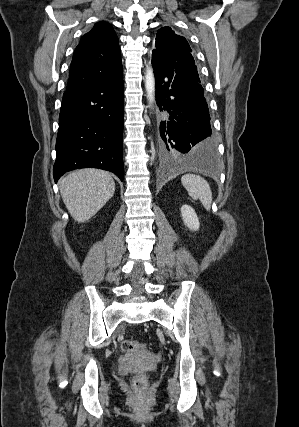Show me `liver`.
Here are the masks:
<instances>
[{
	"label": "liver",
	"instance_id": "6515ba94",
	"mask_svg": "<svg viewBox=\"0 0 299 427\" xmlns=\"http://www.w3.org/2000/svg\"><path fill=\"white\" fill-rule=\"evenodd\" d=\"M60 192L70 215L82 223L93 217L113 196L115 182L106 171L85 168L65 176L60 181Z\"/></svg>",
	"mask_w": 299,
	"mask_h": 427
}]
</instances>
